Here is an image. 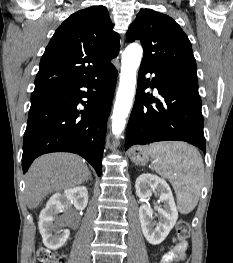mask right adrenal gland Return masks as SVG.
Here are the masks:
<instances>
[{"mask_svg": "<svg viewBox=\"0 0 233 263\" xmlns=\"http://www.w3.org/2000/svg\"><path fill=\"white\" fill-rule=\"evenodd\" d=\"M89 180H90V181H93L91 174L89 175Z\"/></svg>", "mask_w": 233, "mask_h": 263, "instance_id": "obj_1", "label": "right adrenal gland"}]
</instances>
